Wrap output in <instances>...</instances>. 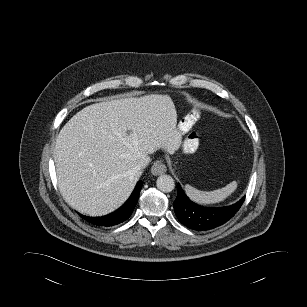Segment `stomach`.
I'll return each instance as SVG.
<instances>
[{
	"instance_id": "0dacf381",
	"label": "stomach",
	"mask_w": 307,
	"mask_h": 307,
	"mask_svg": "<svg viewBox=\"0 0 307 307\" xmlns=\"http://www.w3.org/2000/svg\"><path fill=\"white\" fill-rule=\"evenodd\" d=\"M199 145V140L195 133H191L189 137H187L183 144V150L185 153H194Z\"/></svg>"
}]
</instances>
